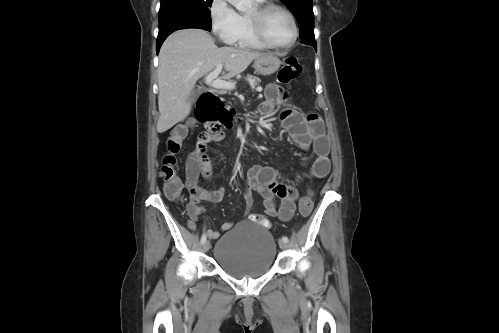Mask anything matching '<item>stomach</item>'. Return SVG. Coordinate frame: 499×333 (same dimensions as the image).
<instances>
[{
  "mask_svg": "<svg viewBox=\"0 0 499 333\" xmlns=\"http://www.w3.org/2000/svg\"><path fill=\"white\" fill-rule=\"evenodd\" d=\"M281 65L280 59L273 54H265L254 61L255 70L264 76L275 73Z\"/></svg>",
  "mask_w": 499,
  "mask_h": 333,
  "instance_id": "1",
  "label": "stomach"
}]
</instances>
